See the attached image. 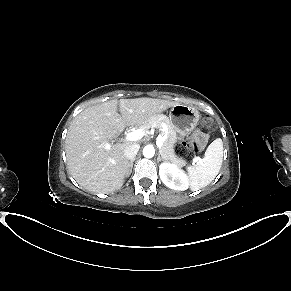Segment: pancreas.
<instances>
[{
    "label": "pancreas",
    "instance_id": "cf45deb5",
    "mask_svg": "<svg viewBox=\"0 0 291 291\" xmlns=\"http://www.w3.org/2000/svg\"><path fill=\"white\" fill-rule=\"evenodd\" d=\"M162 124H166L168 127V136L167 139L163 142V146L159 148L160 155H162V158L164 160L172 162L179 167L185 166L187 164L186 161L182 158L177 157L174 152V144L177 137L176 132L169 120L161 116H153L143 123L145 127H157L160 130L162 129Z\"/></svg>",
    "mask_w": 291,
    "mask_h": 291
}]
</instances>
